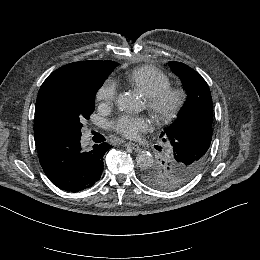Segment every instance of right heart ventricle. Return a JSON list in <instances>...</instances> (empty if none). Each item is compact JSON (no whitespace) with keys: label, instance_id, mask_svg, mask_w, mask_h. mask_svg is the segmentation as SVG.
Returning a JSON list of instances; mask_svg holds the SVG:
<instances>
[{"label":"right heart ventricle","instance_id":"e07e8e85","mask_svg":"<svg viewBox=\"0 0 260 260\" xmlns=\"http://www.w3.org/2000/svg\"><path fill=\"white\" fill-rule=\"evenodd\" d=\"M126 82L145 97L170 85V79L164 73L151 67L133 70L127 75Z\"/></svg>","mask_w":260,"mask_h":260}]
</instances>
